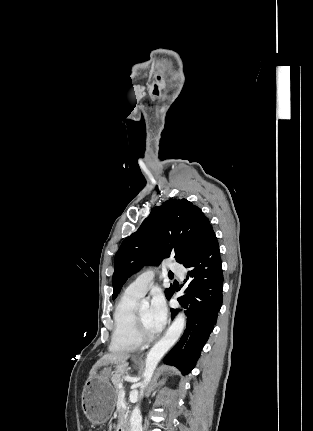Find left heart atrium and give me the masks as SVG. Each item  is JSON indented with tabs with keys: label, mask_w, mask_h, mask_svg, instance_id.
Masks as SVG:
<instances>
[{
	"label": "left heart atrium",
	"mask_w": 313,
	"mask_h": 431,
	"mask_svg": "<svg viewBox=\"0 0 313 431\" xmlns=\"http://www.w3.org/2000/svg\"><path fill=\"white\" fill-rule=\"evenodd\" d=\"M151 325L155 332L160 331L166 323L167 308L163 296L159 293L153 295L150 304Z\"/></svg>",
	"instance_id": "39dd6f15"
}]
</instances>
